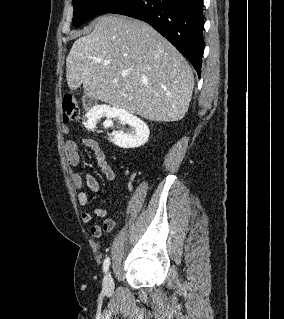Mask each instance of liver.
I'll use <instances>...</instances> for the list:
<instances>
[{"mask_svg": "<svg viewBox=\"0 0 284 319\" xmlns=\"http://www.w3.org/2000/svg\"><path fill=\"white\" fill-rule=\"evenodd\" d=\"M71 90L152 121H178L194 87L183 55L147 23L121 15L100 17L66 58Z\"/></svg>", "mask_w": 284, "mask_h": 319, "instance_id": "1", "label": "liver"}]
</instances>
